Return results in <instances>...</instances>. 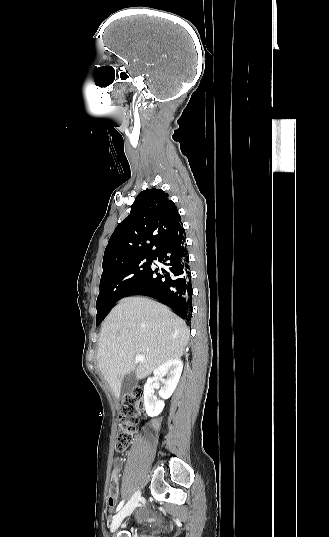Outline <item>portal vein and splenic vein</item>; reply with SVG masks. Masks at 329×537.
Here are the masks:
<instances>
[{"label":"portal vein and splenic vein","instance_id":"1","mask_svg":"<svg viewBox=\"0 0 329 537\" xmlns=\"http://www.w3.org/2000/svg\"><path fill=\"white\" fill-rule=\"evenodd\" d=\"M136 359H137L138 362H143V361H144V357H143V356H140V355L137 356Z\"/></svg>","mask_w":329,"mask_h":537}]
</instances>
